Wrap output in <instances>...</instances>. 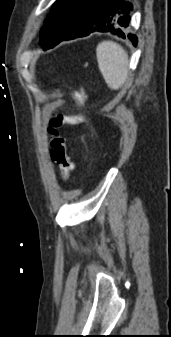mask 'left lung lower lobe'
<instances>
[{"instance_id": "left-lung-lower-lobe-1", "label": "left lung lower lobe", "mask_w": 171, "mask_h": 337, "mask_svg": "<svg viewBox=\"0 0 171 337\" xmlns=\"http://www.w3.org/2000/svg\"><path fill=\"white\" fill-rule=\"evenodd\" d=\"M130 10L132 5L122 0H85L76 25L61 41L87 36L95 31H110L125 38L123 30L129 25ZM128 38L134 46L137 45L135 35L128 34Z\"/></svg>"}]
</instances>
